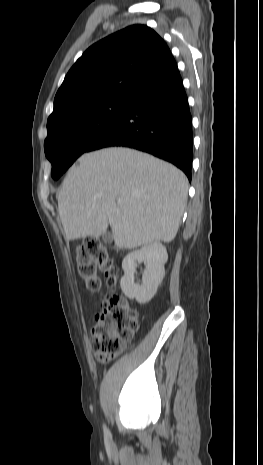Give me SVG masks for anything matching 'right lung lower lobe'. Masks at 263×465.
Wrapping results in <instances>:
<instances>
[{
	"label": "right lung lower lobe",
	"mask_w": 263,
	"mask_h": 465,
	"mask_svg": "<svg viewBox=\"0 0 263 465\" xmlns=\"http://www.w3.org/2000/svg\"><path fill=\"white\" fill-rule=\"evenodd\" d=\"M192 139L188 99L177 69L138 91L126 114L89 151L110 146L142 150L173 163L191 181Z\"/></svg>",
	"instance_id": "1"
}]
</instances>
